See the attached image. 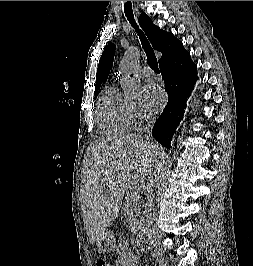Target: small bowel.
<instances>
[{"label": "small bowel", "mask_w": 253, "mask_h": 266, "mask_svg": "<svg viewBox=\"0 0 253 266\" xmlns=\"http://www.w3.org/2000/svg\"><path fill=\"white\" fill-rule=\"evenodd\" d=\"M124 263L129 264V265H131V266H134V265H135L134 262L131 261V260H125ZM119 264L121 265L122 263L119 261ZM144 266H148V265H144Z\"/></svg>", "instance_id": "1"}]
</instances>
